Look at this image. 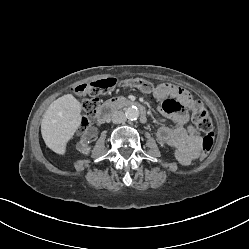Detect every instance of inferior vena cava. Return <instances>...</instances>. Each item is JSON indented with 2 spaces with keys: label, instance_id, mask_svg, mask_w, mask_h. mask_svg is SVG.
<instances>
[{
  "label": "inferior vena cava",
  "instance_id": "1",
  "mask_svg": "<svg viewBox=\"0 0 249 249\" xmlns=\"http://www.w3.org/2000/svg\"><path fill=\"white\" fill-rule=\"evenodd\" d=\"M112 122L115 124L124 123L126 116L123 111H114L111 116Z\"/></svg>",
  "mask_w": 249,
  "mask_h": 249
}]
</instances>
